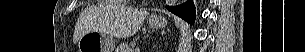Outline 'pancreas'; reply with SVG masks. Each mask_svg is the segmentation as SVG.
<instances>
[{"mask_svg":"<svg viewBox=\"0 0 305 52\" xmlns=\"http://www.w3.org/2000/svg\"><path fill=\"white\" fill-rule=\"evenodd\" d=\"M131 48L129 47V45L125 44V45H121L118 48V52H131Z\"/></svg>","mask_w":305,"mask_h":52,"instance_id":"pancreas-1","label":"pancreas"}]
</instances>
